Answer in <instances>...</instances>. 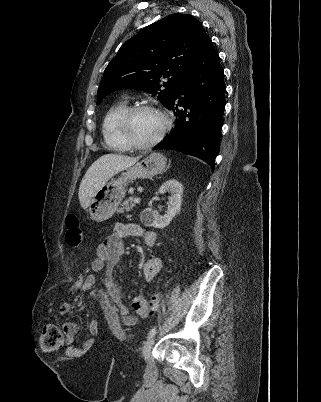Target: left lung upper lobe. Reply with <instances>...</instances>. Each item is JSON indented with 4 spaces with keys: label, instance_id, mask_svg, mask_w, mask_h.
Instances as JSON below:
<instances>
[{
    "label": "left lung upper lobe",
    "instance_id": "left-lung-upper-lobe-1",
    "mask_svg": "<svg viewBox=\"0 0 321 402\" xmlns=\"http://www.w3.org/2000/svg\"><path fill=\"white\" fill-rule=\"evenodd\" d=\"M210 40L189 14H172L127 41L104 71L97 104L109 93L130 88L158 95L168 108L175 91ZM167 82L161 84V80Z\"/></svg>",
    "mask_w": 321,
    "mask_h": 402
}]
</instances>
